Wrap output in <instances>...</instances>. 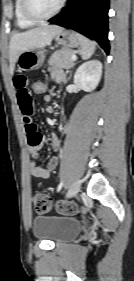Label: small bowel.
Here are the masks:
<instances>
[{"label":"small bowel","instance_id":"1","mask_svg":"<svg viewBox=\"0 0 134 281\" xmlns=\"http://www.w3.org/2000/svg\"><path fill=\"white\" fill-rule=\"evenodd\" d=\"M54 80L56 83H62L65 82L66 76L62 71H56L54 73ZM12 84L16 91L17 103L22 114V119L27 134L28 150L34 158H37V150L43 145L45 139L38 131L37 125L33 120L34 103L32 99L30 80L25 74L20 73L12 78ZM44 100L49 102L51 97L49 95H45ZM50 143L54 151V155L51 156L46 167H40L36 160H31L28 164V169L31 175L47 179L52 175L53 171L58 166V153L61 149L60 140L57 136H53L50 139Z\"/></svg>","mask_w":134,"mask_h":281}]
</instances>
